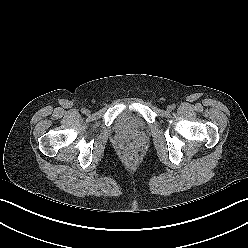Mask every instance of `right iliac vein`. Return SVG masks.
<instances>
[{
  "label": "right iliac vein",
  "instance_id": "1",
  "mask_svg": "<svg viewBox=\"0 0 248 248\" xmlns=\"http://www.w3.org/2000/svg\"><path fill=\"white\" fill-rule=\"evenodd\" d=\"M86 114H88V113H90V111L89 110H86V112H85Z\"/></svg>",
  "mask_w": 248,
  "mask_h": 248
}]
</instances>
